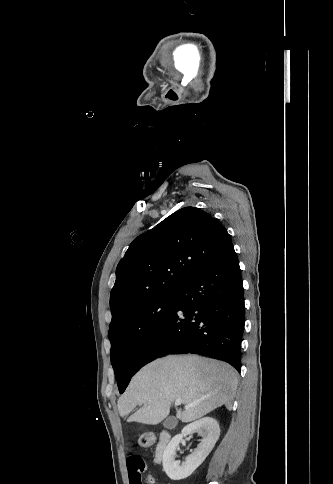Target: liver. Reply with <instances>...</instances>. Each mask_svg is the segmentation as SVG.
<instances>
[{"label":"liver","instance_id":"obj_1","mask_svg":"<svg viewBox=\"0 0 333 484\" xmlns=\"http://www.w3.org/2000/svg\"><path fill=\"white\" fill-rule=\"evenodd\" d=\"M238 384L237 372L229 364L200 356H167L143 367L118 399L121 417L142 406L127 422L156 425L165 419L171 404L181 399L189 408L176 417L191 422L217 407L232 409Z\"/></svg>","mask_w":333,"mask_h":484}]
</instances>
